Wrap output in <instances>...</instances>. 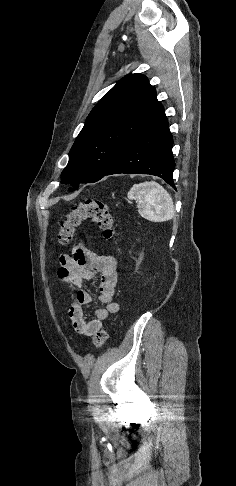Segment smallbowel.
<instances>
[{"label": "small bowel", "instance_id": "small-bowel-1", "mask_svg": "<svg viewBox=\"0 0 236 486\" xmlns=\"http://www.w3.org/2000/svg\"><path fill=\"white\" fill-rule=\"evenodd\" d=\"M58 277L69 286L76 288L69 307V318L74 330L83 336H92L101 329L102 323L119 310L114 300L117 284V263L113 256L96 254L82 245L73 249L72 255L63 254L59 258ZM100 274L98 299L103 307L94 311L91 320L84 318L82 307L93 301L91 294L83 289V283Z\"/></svg>", "mask_w": 236, "mask_h": 486}]
</instances>
